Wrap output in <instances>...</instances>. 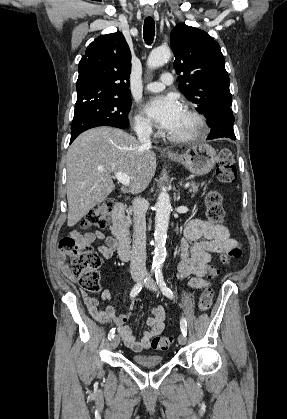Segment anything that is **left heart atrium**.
<instances>
[{"mask_svg": "<svg viewBox=\"0 0 287 419\" xmlns=\"http://www.w3.org/2000/svg\"><path fill=\"white\" fill-rule=\"evenodd\" d=\"M144 109L155 125L166 131L176 126L183 113L181 102L174 94L155 96L146 103Z\"/></svg>", "mask_w": 287, "mask_h": 419, "instance_id": "39dd6f15", "label": "left heart atrium"}]
</instances>
